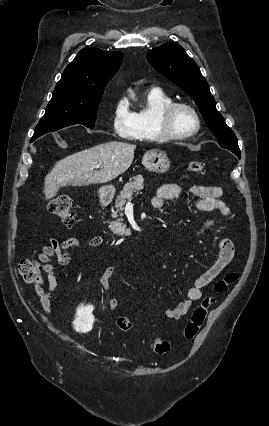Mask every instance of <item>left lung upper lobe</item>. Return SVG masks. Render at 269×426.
Returning <instances> with one entry per match:
<instances>
[{
	"instance_id": "5c2ea615",
	"label": "left lung upper lobe",
	"mask_w": 269,
	"mask_h": 426,
	"mask_svg": "<svg viewBox=\"0 0 269 426\" xmlns=\"http://www.w3.org/2000/svg\"><path fill=\"white\" fill-rule=\"evenodd\" d=\"M149 63L162 75L186 91L200 109L219 145L240 153L234 132L216 109L215 100L195 61L177 43H165L147 53Z\"/></svg>"
}]
</instances>
